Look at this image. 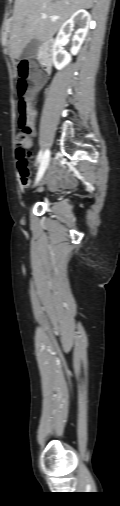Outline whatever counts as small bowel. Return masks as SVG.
<instances>
[{
    "instance_id": "small-bowel-1",
    "label": "small bowel",
    "mask_w": 120,
    "mask_h": 506,
    "mask_svg": "<svg viewBox=\"0 0 120 506\" xmlns=\"http://www.w3.org/2000/svg\"><path fill=\"white\" fill-rule=\"evenodd\" d=\"M31 80L33 85L29 92L30 100H35L40 91L43 89L47 82V78L43 74H39L38 77H35L34 73L31 75ZM32 120L35 119L34 114H31ZM35 168H38V164L34 165ZM21 185L25 188L30 187L31 179L28 175L27 177L21 176ZM47 184L51 188H59V189H68L74 186V179L69 175V173L56 161H53L50 166V172L47 178Z\"/></svg>"
}]
</instances>
